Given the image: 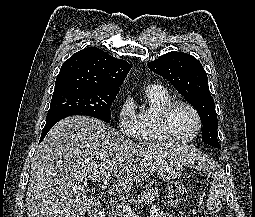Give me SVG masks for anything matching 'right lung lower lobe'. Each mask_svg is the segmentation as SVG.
Wrapping results in <instances>:
<instances>
[{
    "label": "right lung lower lobe",
    "instance_id": "right-lung-lower-lobe-1",
    "mask_svg": "<svg viewBox=\"0 0 255 217\" xmlns=\"http://www.w3.org/2000/svg\"><path fill=\"white\" fill-rule=\"evenodd\" d=\"M68 116H72L71 114L62 113L52 116L51 118H48L46 121V125L42 131L40 142L44 139L48 131L52 128L54 124H56L58 121H60L63 118H66Z\"/></svg>",
    "mask_w": 255,
    "mask_h": 217
}]
</instances>
